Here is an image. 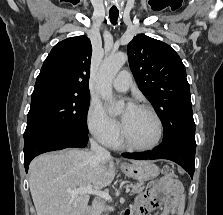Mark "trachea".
Segmentation results:
<instances>
[{
	"instance_id": "obj_1",
	"label": "trachea",
	"mask_w": 223,
	"mask_h": 215,
	"mask_svg": "<svg viewBox=\"0 0 223 215\" xmlns=\"http://www.w3.org/2000/svg\"><path fill=\"white\" fill-rule=\"evenodd\" d=\"M119 11L117 9H111L109 11V18L113 24L117 23Z\"/></svg>"
}]
</instances>
